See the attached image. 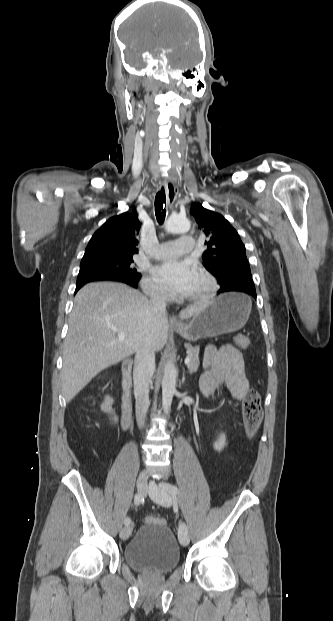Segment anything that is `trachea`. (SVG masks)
Wrapping results in <instances>:
<instances>
[{"label": "trachea", "instance_id": "trachea-1", "mask_svg": "<svg viewBox=\"0 0 333 621\" xmlns=\"http://www.w3.org/2000/svg\"><path fill=\"white\" fill-rule=\"evenodd\" d=\"M165 203V191L164 188H161L160 192H157L155 197V215L157 218V222L162 224L165 220L166 209L164 206Z\"/></svg>", "mask_w": 333, "mask_h": 621}]
</instances>
